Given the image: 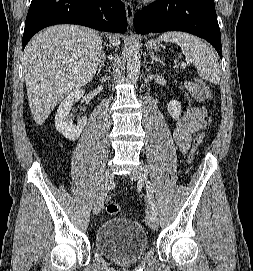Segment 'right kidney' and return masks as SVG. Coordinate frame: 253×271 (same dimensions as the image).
Returning <instances> with one entry per match:
<instances>
[{"label": "right kidney", "instance_id": "1", "mask_svg": "<svg viewBox=\"0 0 253 271\" xmlns=\"http://www.w3.org/2000/svg\"><path fill=\"white\" fill-rule=\"evenodd\" d=\"M84 95V90L77 89L70 93L59 105L55 115V127L68 140H76L82 133L87 119L82 118L77 125L69 119L70 110L75 102H78Z\"/></svg>", "mask_w": 253, "mask_h": 271}]
</instances>
